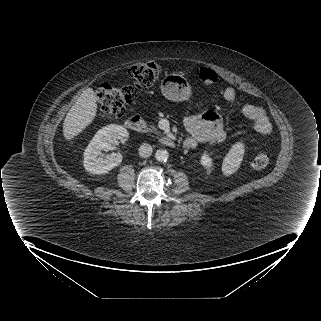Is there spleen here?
<instances>
[{
    "mask_svg": "<svg viewBox=\"0 0 321 321\" xmlns=\"http://www.w3.org/2000/svg\"><path fill=\"white\" fill-rule=\"evenodd\" d=\"M244 154V145L241 142L233 145L224 158L222 170L225 174L233 173L242 161Z\"/></svg>",
    "mask_w": 321,
    "mask_h": 321,
    "instance_id": "spleen-1",
    "label": "spleen"
}]
</instances>
